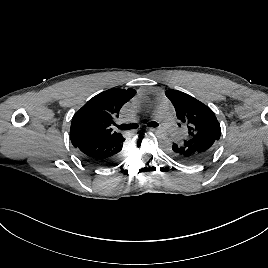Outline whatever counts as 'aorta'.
I'll list each match as a JSON object with an SVG mask.
<instances>
[{
	"mask_svg": "<svg viewBox=\"0 0 268 268\" xmlns=\"http://www.w3.org/2000/svg\"><path fill=\"white\" fill-rule=\"evenodd\" d=\"M147 102H148L147 99L144 97H141L137 100V103L139 106H144V105H146ZM154 135H155L156 139L163 141V140L167 139L169 132H168L167 128L160 126V127L156 128Z\"/></svg>",
	"mask_w": 268,
	"mask_h": 268,
	"instance_id": "aorta-1",
	"label": "aorta"
}]
</instances>
